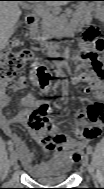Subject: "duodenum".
Here are the masks:
<instances>
[{
    "instance_id": "duodenum-1",
    "label": "duodenum",
    "mask_w": 104,
    "mask_h": 189,
    "mask_svg": "<svg viewBox=\"0 0 104 189\" xmlns=\"http://www.w3.org/2000/svg\"><path fill=\"white\" fill-rule=\"evenodd\" d=\"M25 26L28 31H33L37 26V19L35 16H27L25 18Z\"/></svg>"
}]
</instances>
